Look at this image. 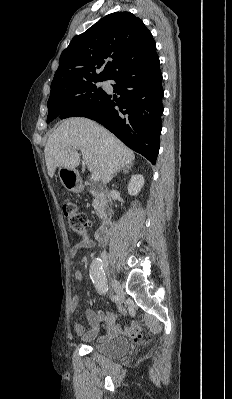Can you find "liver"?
<instances>
[{
    "mask_svg": "<svg viewBox=\"0 0 232 399\" xmlns=\"http://www.w3.org/2000/svg\"><path fill=\"white\" fill-rule=\"evenodd\" d=\"M82 158L89 172H97L102 184H109L114 172L132 164L134 152L105 128L87 118H69L53 130L44 154L48 176L53 178L56 168L75 170Z\"/></svg>",
    "mask_w": 232,
    "mask_h": 399,
    "instance_id": "6515ba94",
    "label": "liver"
}]
</instances>
